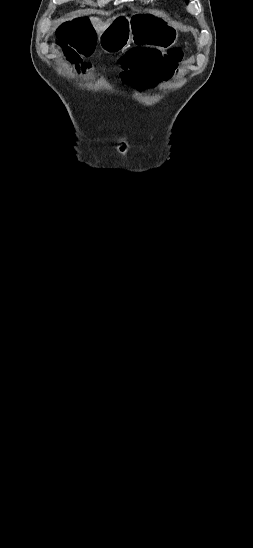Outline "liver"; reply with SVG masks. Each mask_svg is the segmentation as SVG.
<instances>
[{
	"label": "liver",
	"mask_w": 253,
	"mask_h": 548,
	"mask_svg": "<svg viewBox=\"0 0 253 548\" xmlns=\"http://www.w3.org/2000/svg\"><path fill=\"white\" fill-rule=\"evenodd\" d=\"M90 22L95 29L97 33H101L104 31L112 22V19H108L107 21H102L101 19L97 17H90Z\"/></svg>",
	"instance_id": "obj_1"
}]
</instances>
